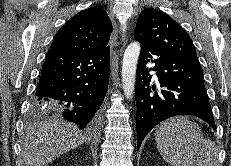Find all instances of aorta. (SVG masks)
<instances>
[{
	"label": "aorta",
	"instance_id": "aorta-1",
	"mask_svg": "<svg viewBox=\"0 0 231 166\" xmlns=\"http://www.w3.org/2000/svg\"><path fill=\"white\" fill-rule=\"evenodd\" d=\"M140 44L133 42L126 48L122 63V85L127 99L133 96L136 80V66L140 55Z\"/></svg>",
	"mask_w": 231,
	"mask_h": 166
}]
</instances>
